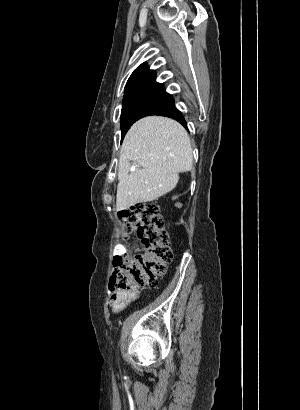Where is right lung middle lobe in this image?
<instances>
[{
    "mask_svg": "<svg viewBox=\"0 0 300 410\" xmlns=\"http://www.w3.org/2000/svg\"><path fill=\"white\" fill-rule=\"evenodd\" d=\"M172 104L174 100L162 84H140L126 88L121 111V139L135 121Z\"/></svg>",
    "mask_w": 300,
    "mask_h": 410,
    "instance_id": "dd1d6c3e",
    "label": "right lung middle lobe"
}]
</instances>
